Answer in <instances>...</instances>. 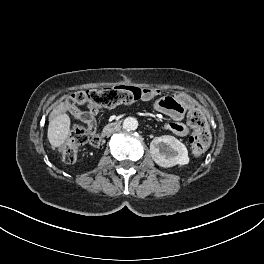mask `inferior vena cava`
I'll return each mask as SVG.
<instances>
[{
	"label": "inferior vena cava",
	"mask_w": 264,
	"mask_h": 264,
	"mask_svg": "<svg viewBox=\"0 0 264 264\" xmlns=\"http://www.w3.org/2000/svg\"><path fill=\"white\" fill-rule=\"evenodd\" d=\"M122 129H123V126L122 125H119L117 128H115L114 130H111L110 132H109V135L110 136H113V135H115V134H119V133H121L122 132Z\"/></svg>",
	"instance_id": "602c4592"
}]
</instances>
